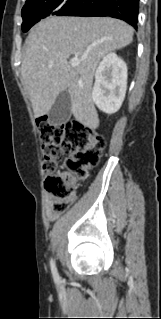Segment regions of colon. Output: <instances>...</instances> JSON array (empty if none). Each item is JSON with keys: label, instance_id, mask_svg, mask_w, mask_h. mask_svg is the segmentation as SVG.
I'll use <instances>...</instances> for the list:
<instances>
[{"label": "colon", "instance_id": "obj_1", "mask_svg": "<svg viewBox=\"0 0 161 319\" xmlns=\"http://www.w3.org/2000/svg\"><path fill=\"white\" fill-rule=\"evenodd\" d=\"M43 153L42 171L45 188L53 201L54 214L64 213L76 199V181L85 179L87 169L95 165L105 146V140L93 129L76 121L38 124ZM63 154H69L62 171L57 163Z\"/></svg>", "mask_w": 161, "mask_h": 319}]
</instances>
